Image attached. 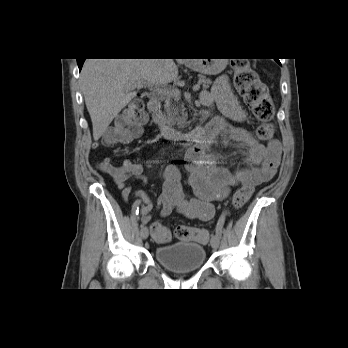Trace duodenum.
Instances as JSON below:
<instances>
[{"label": "duodenum", "mask_w": 348, "mask_h": 348, "mask_svg": "<svg viewBox=\"0 0 348 348\" xmlns=\"http://www.w3.org/2000/svg\"><path fill=\"white\" fill-rule=\"evenodd\" d=\"M148 109L153 117L154 124L158 127L161 134L169 139H176L186 143H191L196 147H203L214 136L211 127H196L189 132H178L165 125L161 115V102L157 98L149 100Z\"/></svg>", "instance_id": "410a0bca"}]
</instances>
